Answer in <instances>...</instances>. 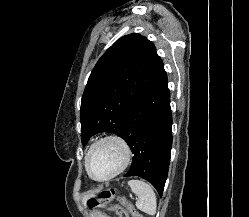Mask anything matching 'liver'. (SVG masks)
<instances>
[{
	"instance_id": "1",
	"label": "liver",
	"mask_w": 249,
	"mask_h": 217,
	"mask_svg": "<svg viewBox=\"0 0 249 217\" xmlns=\"http://www.w3.org/2000/svg\"><path fill=\"white\" fill-rule=\"evenodd\" d=\"M90 197V195H87L83 198V203H86V201L88 200V198Z\"/></svg>"
}]
</instances>
